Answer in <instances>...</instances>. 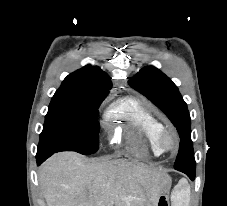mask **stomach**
Segmentation results:
<instances>
[{"label": "stomach", "mask_w": 227, "mask_h": 206, "mask_svg": "<svg viewBox=\"0 0 227 206\" xmlns=\"http://www.w3.org/2000/svg\"><path fill=\"white\" fill-rule=\"evenodd\" d=\"M169 190H170V186L163 189V191L159 196L158 203L156 206H171V203L168 202Z\"/></svg>", "instance_id": "stomach-1"}]
</instances>
